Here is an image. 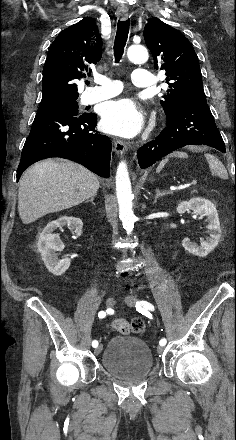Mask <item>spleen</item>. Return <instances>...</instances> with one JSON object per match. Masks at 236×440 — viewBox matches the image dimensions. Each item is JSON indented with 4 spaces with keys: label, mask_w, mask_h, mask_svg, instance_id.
I'll return each instance as SVG.
<instances>
[{
    "label": "spleen",
    "mask_w": 236,
    "mask_h": 440,
    "mask_svg": "<svg viewBox=\"0 0 236 440\" xmlns=\"http://www.w3.org/2000/svg\"><path fill=\"white\" fill-rule=\"evenodd\" d=\"M205 158H206V160L209 164L210 170L213 174L221 177L222 179H227V177H228L227 171H226L224 165L216 157H214L211 154H205ZM167 161H168V159L166 158L159 163V165L156 169L157 173H159L163 169V167L165 166Z\"/></svg>",
    "instance_id": "spleen-1"
}]
</instances>
